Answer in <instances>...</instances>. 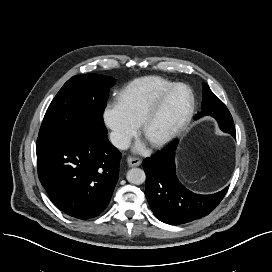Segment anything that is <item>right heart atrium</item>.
<instances>
[{
	"instance_id": "obj_1",
	"label": "right heart atrium",
	"mask_w": 272,
	"mask_h": 272,
	"mask_svg": "<svg viewBox=\"0 0 272 272\" xmlns=\"http://www.w3.org/2000/svg\"><path fill=\"white\" fill-rule=\"evenodd\" d=\"M102 120L110 132L112 144L118 148H124L137 132V126L127 117L118 102L105 106Z\"/></svg>"
}]
</instances>
